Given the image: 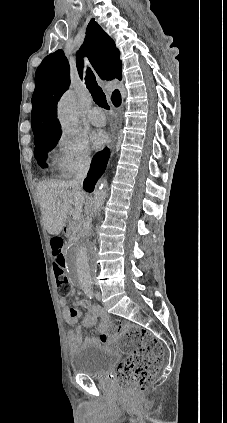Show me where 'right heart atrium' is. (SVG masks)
<instances>
[{
  "instance_id": "d8ad5b80",
  "label": "right heart atrium",
  "mask_w": 227,
  "mask_h": 423,
  "mask_svg": "<svg viewBox=\"0 0 227 423\" xmlns=\"http://www.w3.org/2000/svg\"><path fill=\"white\" fill-rule=\"evenodd\" d=\"M92 162L93 156L84 137L62 135L58 139L55 164L64 177L89 170Z\"/></svg>"
}]
</instances>
